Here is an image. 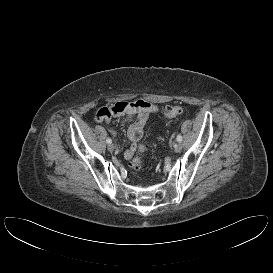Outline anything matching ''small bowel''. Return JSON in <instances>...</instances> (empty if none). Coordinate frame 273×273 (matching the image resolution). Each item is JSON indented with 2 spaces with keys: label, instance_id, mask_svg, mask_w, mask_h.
<instances>
[{
  "label": "small bowel",
  "instance_id": "small-bowel-1",
  "mask_svg": "<svg viewBox=\"0 0 273 273\" xmlns=\"http://www.w3.org/2000/svg\"><path fill=\"white\" fill-rule=\"evenodd\" d=\"M157 110L156 105L145 100L121 101L100 108L95 115V120L97 122H108L112 117H126L132 120L128 129V138L131 141V145L124 153L125 158L129 160L136 151L137 141L143 134L149 115Z\"/></svg>",
  "mask_w": 273,
  "mask_h": 273
}]
</instances>
